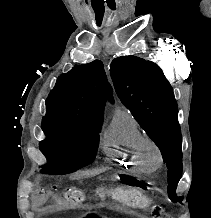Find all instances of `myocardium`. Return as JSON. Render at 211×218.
Returning a JSON list of instances; mask_svg holds the SVG:
<instances>
[{
  "label": "myocardium",
  "instance_id": "f54148a6",
  "mask_svg": "<svg viewBox=\"0 0 211 218\" xmlns=\"http://www.w3.org/2000/svg\"><path fill=\"white\" fill-rule=\"evenodd\" d=\"M151 150L154 155L155 165H160L162 162V153L156 142L150 138H145L141 147V159L144 163H149L147 151Z\"/></svg>",
  "mask_w": 211,
  "mask_h": 218
}]
</instances>
